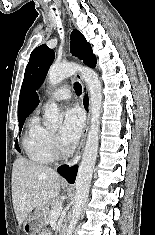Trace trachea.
Wrapping results in <instances>:
<instances>
[{
  "label": "trachea",
  "mask_w": 155,
  "mask_h": 235,
  "mask_svg": "<svg viewBox=\"0 0 155 235\" xmlns=\"http://www.w3.org/2000/svg\"><path fill=\"white\" fill-rule=\"evenodd\" d=\"M74 90L76 92L77 95H81L82 93V87L81 85L79 84V82H75L74 84Z\"/></svg>",
  "instance_id": "3493384b"
}]
</instances>
